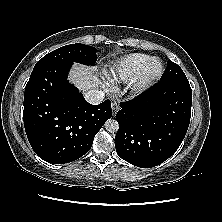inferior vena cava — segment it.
<instances>
[{"label":"inferior vena cava","mask_w":222,"mask_h":222,"mask_svg":"<svg viewBox=\"0 0 222 222\" xmlns=\"http://www.w3.org/2000/svg\"><path fill=\"white\" fill-rule=\"evenodd\" d=\"M84 97L90 104L98 105L104 100L105 93L102 90L91 89L85 93Z\"/></svg>","instance_id":"1"}]
</instances>
